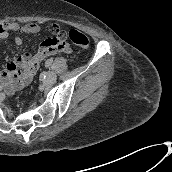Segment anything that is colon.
<instances>
[{"mask_svg":"<svg viewBox=\"0 0 172 172\" xmlns=\"http://www.w3.org/2000/svg\"><path fill=\"white\" fill-rule=\"evenodd\" d=\"M52 33L55 35L53 38L54 43H64L65 33L61 32L59 28H52ZM69 39L76 45L85 48L89 44L88 38L77 30H71L68 33Z\"/></svg>","mask_w":172,"mask_h":172,"instance_id":"5ec220e1","label":"colon"}]
</instances>
